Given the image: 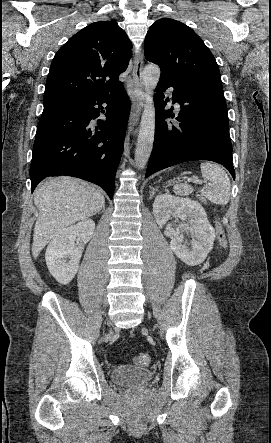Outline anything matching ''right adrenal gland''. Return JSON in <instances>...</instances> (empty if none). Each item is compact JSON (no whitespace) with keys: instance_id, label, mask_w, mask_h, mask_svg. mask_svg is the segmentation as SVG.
Returning a JSON list of instances; mask_svg holds the SVG:
<instances>
[{"instance_id":"right-adrenal-gland-1","label":"right adrenal gland","mask_w":271,"mask_h":443,"mask_svg":"<svg viewBox=\"0 0 271 443\" xmlns=\"http://www.w3.org/2000/svg\"><path fill=\"white\" fill-rule=\"evenodd\" d=\"M100 212H101V210H100ZM102 212H105V208H103Z\"/></svg>"}]
</instances>
